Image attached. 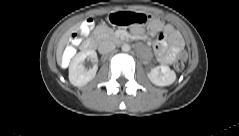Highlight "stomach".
I'll use <instances>...</instances> for the list:
<instances>
[{"label":"stomach","instance_id":"stomach-1","mask_svg":"<svg viewBox=\"0 0 239 136\" xmlns=\"http://www.w3.org/2000/svg\"><path fill=\"white\" fill-rule=\"evenodd\" d=\"M153 21L151 14L115 10L109 13V22L118 28L136 30L138 24L148 25Z\"/></svg>","mask_w":239,"mask_h":136}]
</instances>
